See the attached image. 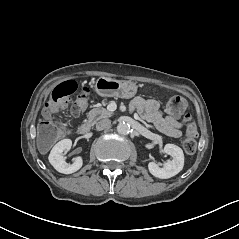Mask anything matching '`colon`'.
<instances>
[{
  "instance_id": "1",
  "label": "colon",
  "mask_w": 239,
  "mask_h": 239,
  "mask_svg": "<svg viewBox=\"0 0 239 239\" xmlns=\"http://www.w3.org/2000/svg\"><path fill=\"white\" fill-rule=\"evenodd\" d=\"M78 90L76 80H68L58 84L50 93L46 104V118L40 124V137L44 144L52 143L59 139L64 130L62 126L56 122L51 115L64 105L67 100ZM89 89L84 86L81 88L76 102L72 106V113L79 114L89 100ZM187 108L186 100L179 95L172 96L167 103V111L172 116H179L185 113ZM183 122L186 125V138L183 142V148L188 154H193L197 148V128L190 114H185Z\"/></svg>"
}]
</instances>
